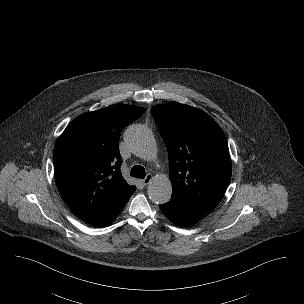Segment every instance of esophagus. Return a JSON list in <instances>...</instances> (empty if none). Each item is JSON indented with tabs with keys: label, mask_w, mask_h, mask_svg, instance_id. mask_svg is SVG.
<instances>
[{
	"label": "esophagus",
	"mask_w": 304,
	"mask_h": 304,
	"mask_svg": "<svg viewBox=\"0 0 304 304\" xmlns=\"http://www.w3.org/2000/svg\"><path fill=\"white\" fill-rule=\"evenodd\" d=\"M153 179V175L152 174H147L146 177L142 180V183L144 185H148Z\"/></svg>",
	"instance_id": "obj_1"
}]
</instances>
